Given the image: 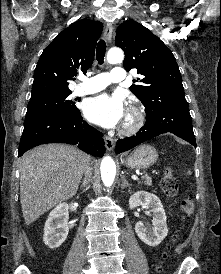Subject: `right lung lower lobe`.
<instances>
[{"instance_id":"right-lung-lower-lobe-1","label":"right lung lower lobe","mask_w":221,"mask_h":274,"mask_svg":"<svg viewBox=\"0 0 221 274\" xmlns=\"http://www.w3.org/2000/svg\"><path fill=\"white\" fill-rule=\"evenodd\" d=\"M52 142L78 145L84 152L97 157L105 152L102 133L84 121L80 113L55 112L25 119L18 157L35 146Z\"/></svg>"}]
</instances>
